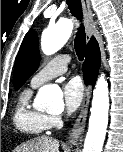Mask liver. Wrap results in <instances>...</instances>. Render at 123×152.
Segmentation results:
<instances>
[{"label":"liver","instance_id":"liver-1","mask_svg":"<svg viewBox=\"0 0 123 152\" xmlns=\"http://www.w3.org/2000/svg\"><path fill=\"white\" fill-rule=\"evenodd\" d=\"M14 152H59V142L51 137H38L27 141Z\"/></svg>","mask_w":123,"mask_h":152}]
</instances>
